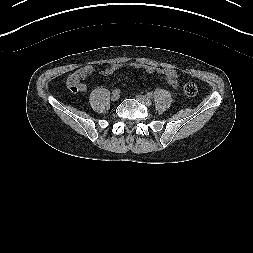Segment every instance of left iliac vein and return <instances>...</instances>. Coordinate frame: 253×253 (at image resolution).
<instances>
[{"instance_id":"obj_1","label":"left iliac vein","mask_w":253,"mask_h":253,"mask_svg":"<svg viewBox=\"0 0 253 253\" xmlns=\"http://www.w3.org/2000/svg\"><path fill=\"white\" fill-rule=\"evenodd\" d=\"M136 98H137L139 101L143 102V103L151 104V100H150V98L147 97V96H144V95H137Z\"/></svg>"}]
</instances>
